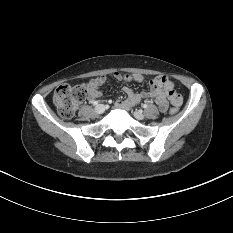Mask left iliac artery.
I'll return each mask as SVG.
<instances>
[{
    "label": "left iliac artery",
    "mask_w": 233,
    "mask_h": 233,
    "mask_svg": "<svg viewBox=\"0 0 233 233\" xmlns=\"http://www.w3.org/2000/svg\"><path fill=\"white\" fill-rule=\"evenodd\" d=\"M142 107H143V108H147V104H143Z\"/></svg>",
    "instance_id": "obj_1"
}]
</instances>
